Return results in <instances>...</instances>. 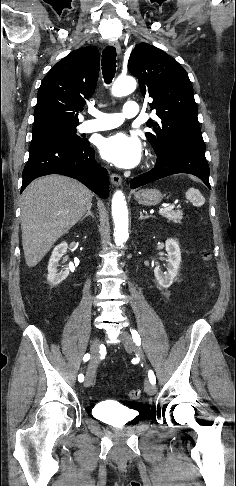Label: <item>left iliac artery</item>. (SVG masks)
Returning a JSON list of instances; mask_svg holds the SVG:
<instances>
[{"mask_svg": "<svg viewBox=\"0 0 236 486\" xmlns=\"http://www.w3.org/2000/svg\"><path fill=\"white\" fill-rule=\"evenodd\" d=\"M131 334H132V339L137 344V346H139L141 344V338H140L138 332L134 329H131ZM148 376H149L150 382L152 384H155L156 378H155V375H154L152 370L149 371Z\"/></svg>", "mask_w": 236, "mask_h": 486, "instance_id": "left-iliac-artery-1", "label": "left iliac artery"}]
</instances>
